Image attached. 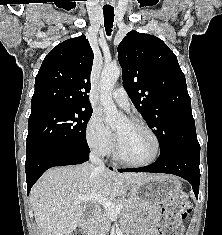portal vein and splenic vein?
Listing matches in <instances>:
<instances>
[{"mask_svg": "<svg viewBox=\"0 0 222 235\" xmlns=\"http://www.w3.org/2000/svg\"><path fill=\"white\" fill-rule=\"evenodd\" d=\"M78 200L81 202H86L91 200L101 204L105 208V210L110 214L111 217L117 216L123 208L122 205L117 206L113 204L112 201L108 200L107 198L95 192L87 195H82L78 198Z\"/></svg>", "mask_w": 222, "mask_h": 235, "instance_id": "18ae733b", "label": "portal vein and splenic vein"}]
</instances>
